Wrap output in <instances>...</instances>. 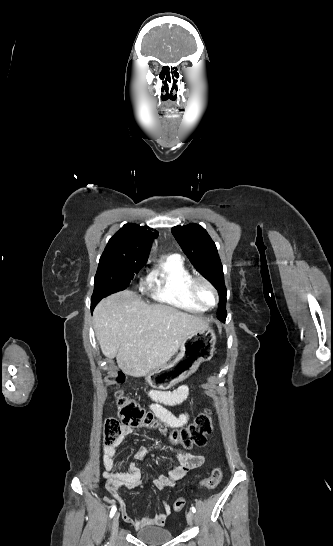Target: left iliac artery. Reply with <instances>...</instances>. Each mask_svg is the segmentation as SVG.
I'll return each instance as SVG.
<instances>
[{"label": "left iliac artery", "instance_id": "44dca946", "mask_svg": "<svg viewBox=\"0 0 333 546\" xmlns=\"http://www.w3.org/2000/svg\"><path fill=\"white\" fill-rule=\"evenodd\" d=\"M191 510H192V512H193V513H195V512H196V509H195V507H194V506H192V507H191Z\"/></svg>", "mask_w": 333, "mask_h": 546}]
</instances>
